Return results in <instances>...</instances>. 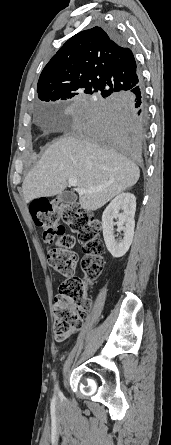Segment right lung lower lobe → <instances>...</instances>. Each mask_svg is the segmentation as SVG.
Returning <instances> with one entry per match:
<instances>
[{"label": "right lung lower lobe", "instance_id": "1", "mask_svg": "<svg viewBox=\"0 0 171 445\" xmlns=\"http://www.w3.org/2000/svg\"><path fill=\"white\" fill-rule=\"evenodd\" d=\"M123 43L115 28L108 29ZM144 89L140 83L122 95H107L90 104L87 116L91 124L89 136L128 158L138 161L147 120Z\"/></svg>", "mask_w": 171, "mask_h": 445}]
</instances>
